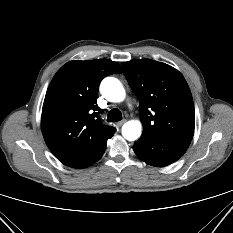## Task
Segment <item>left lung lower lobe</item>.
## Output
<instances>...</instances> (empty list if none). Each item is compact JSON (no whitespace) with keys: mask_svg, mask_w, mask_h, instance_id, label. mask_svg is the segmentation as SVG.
I'll use <instances>...</instances> for the list:
<instances>
[{"mask_svg":"<svg viewBox=\"0 0 233 233\" xmlns=\"http://www.w3.org/2000/svg\"><path fill=\"white\" fill-rule=\"evenodd\" d=\"M189 147L188 143H176L141 137L134 143L133 150L139 159L155 167L167 166L178 160Z\"/></svg>","mask_w":233,"mask_h":233,"instance_id":"1","label":"left lung lower lobe"}]
</instances>
